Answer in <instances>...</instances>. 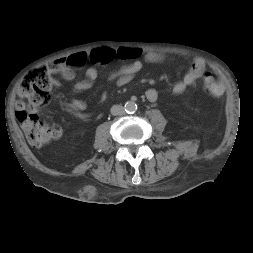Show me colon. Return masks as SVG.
Listing matches in <instances>:
<instances>
[{
    "instance_id": "1",
    "label": "colon",
    "mask_w": 253,
    "mask_h": 253,
    "mask_svg": "<svg viewBox=\"0 0 253 253\" xmlns=\"http://www.w3.org/2000/svg\"><path fill=\"white\" fill-rule=\"evenodd\" d=\"M65 60H58L51 68L37 66L27 73L19 83L18 95L21 100L16 106V118L24 130L28 142L35 147H41L58 138L61 127L48 124L38 118L36 108L50 95L52 81L50 74L62 73L66 69ZM205 90L212 96L219 97L224 92L223 84L206 73L203 80Z\"/></svg>"
}]
</instances>
